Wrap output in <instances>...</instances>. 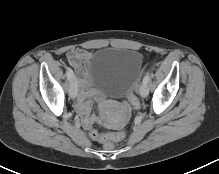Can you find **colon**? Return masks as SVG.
Returning <instances> with one entry per match:
<instances>
[{
    "mask_svg": "<svg viewBox=\"0 0 219 174\" xmlns=\"http://www.w3.org/2000/svg\"><path fill=\"white\" fill-rule=\"evenodd\" d=\"M128 101L133 109L138 110L140 108V101L136 95L135 87L130 90L128 94ZM89 135L93 140L102 142L108 149H112L115 142H119L125 138L126 133L124 131H120L110 134H103L97 130H92L90 131Z\"/></svg>",
    "mask_w": 219,
    "mask_h": 174,
    "instance_id": "5ec220e1",
    "label": "colon"
}]
</instances>
